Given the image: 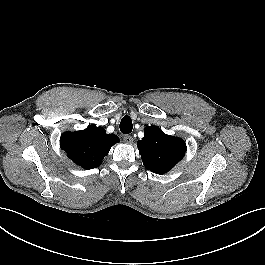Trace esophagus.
Here are the masks:
<instances>
[{
    "label": "esophagus",
    "instance_id": "34e87169",
    "mask_svg": "<svg viewBox=\"0 0 265 265\" xmlns=\"http://www.w3.org/2000/svg\"><path fill=\"white\" fill-rule=\"evenodd\" d=\"M123 140H124L125 143H127V144H131V143H133V140H134V139H133L132 136H130V135H126V136H124Z\"/></svg>",
    "mask_w": 265,
    "mask_h": 265
}]
</instances>
